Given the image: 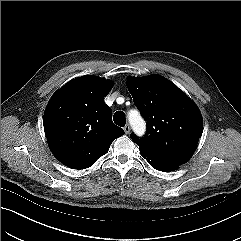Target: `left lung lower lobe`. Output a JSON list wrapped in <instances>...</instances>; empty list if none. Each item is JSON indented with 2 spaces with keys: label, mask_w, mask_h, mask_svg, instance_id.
Returning a JSON list of instances; mask_svg holds the SVG:
<instances>
[{
  "label": "left lung lower lobe",
  "mask_w": 241,
  "mask_h": 241,
  "mask_svg": "<svg viewBox=\"0 0 241 241\" xmlns=\"http://www.w3.org/2000/svg\"><path fill=\"white\" fill-rule=\"evenodd\" d=\"M140 153H141L142 157L145 158L148 161V163L156 170H159L162 172L173 171L176 168H178V166H179L175 163L161 160L158 157L153 156L149 153H146L142 150H140Z\"/></svg>",
  "instance_id": "0a47b994"
}]
</instances>
